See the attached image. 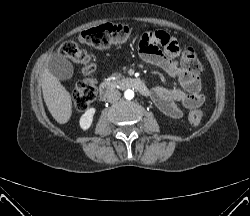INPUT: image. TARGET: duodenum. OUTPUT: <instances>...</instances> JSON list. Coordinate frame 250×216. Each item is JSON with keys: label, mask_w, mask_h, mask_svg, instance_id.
I'll list each match as a JSON object with an SVG mask.
<instances>
[{"label": "duodenum", "mask_w": 250, "mask_h": 216, "mask_svg": "<svg viewBox=\"0 0 250 216\" xmlns=\"http://www.w3.org/2000/svg\"><path fill=\"white\" fill-rule=\"evenodd\" d=\"M135 89L143 95L149 94L146 84L138 78H122L117 81L103 82L99 87V95L105 100L115 88Z\"/></svg>", "instance_id": "duodenum-1"}]
</instances>
